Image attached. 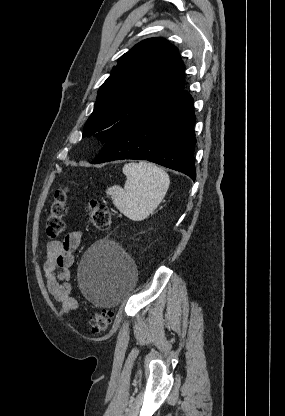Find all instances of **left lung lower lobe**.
Wrapping results in <instances>:
<instances>
[{"label": "left lung lower lobe", "instance_id": "1", "mask_svg": "<svg viewBox=\"0 0 285 416\" xmlns=\"http://www.w3.org/2000/svg\"><path fill=\"white\" fill-rule=\"evenodd\" d=\"M194 124L193 99L183 90L169 103L125 126L105 143L91 163L148 160L195 180Z\"/></svg>", "mask_w": 285, "mask_h": 416}]
</instances>
